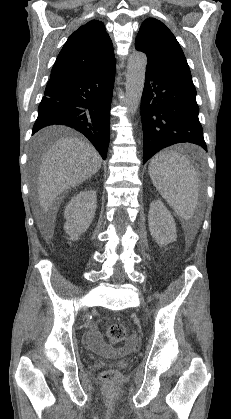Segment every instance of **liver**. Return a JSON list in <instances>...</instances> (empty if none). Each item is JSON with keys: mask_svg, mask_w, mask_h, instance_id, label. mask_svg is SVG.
<instances>
[{"mask_svg": "<svg viewBox=\"0 0 231 419\" xmlns=\"http://www.w3.org/2000/svg\"><path fill=\"white\" fill-rule=\"evenodd\" d=\"M47 130L34 137V144H41ZM102 159L89 143L74 137H66L55 142L42 157L37 194L40 206L38 226L45 236L51 237L53 221L45 224L49 211L58 196L81 184L101 168Z\"/></svg>", "mask_w": 231, "mask_h": 419, "instance_id": "6515ba94", "label": "liver"}]
</instances>
